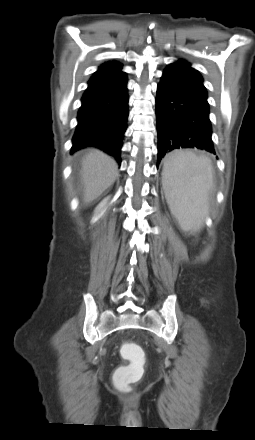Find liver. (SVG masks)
Here are the masks:
<instances>
[{
  "label": "liver",
  "instance_id": "1",
  "mask_svg": "<svg viewBox=\"0 0 255 440\" xmlns=\"http://www.w3.org/2000/svg\"><path fill=\"white\" fill-rule=\"evenodd\" d=\"M118 175L116 161L97 149L90 150L82 160L81 181L84 202L90 203L109 188Z\"/></svg>",
  "mask_w": 255,
  "mask_h": 440
}]
</instances>
